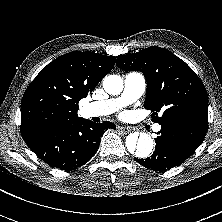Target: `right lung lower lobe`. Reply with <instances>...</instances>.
<instances>
[{
    "label": "right lung lower lobe",
    "mask_w": 222,
    "mask_h": 222,
    "mask_svg": "<svg viewBox=\"0 0 222 222\" xmlns=\"http://www.w3.org/2000/svg\"><path fill=\"white\" fill-rule=\"evenodd\" d=\"M114 123L80 120L68 126H42L21 132L25 143L51 167L73 170L88 162L99 148L103 132Z\"/></svg>",
    "instance_id": "1"
}]
</instances>
